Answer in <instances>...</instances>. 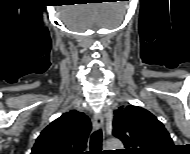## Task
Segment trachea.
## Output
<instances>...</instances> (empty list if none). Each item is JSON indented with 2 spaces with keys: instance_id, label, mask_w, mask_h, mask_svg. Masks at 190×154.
Wrapping results in <instances>:
<instances>
[{
  "instance_id": "obj_1",
  "label": "trachea",
  "mask_w": 190,
  "mask_h": 154,
  "mask_svg": "<svg viewBox=\"0 0 190 154\" xmlns=\"http://www.w3.org/2000/svg\"><path fill=\"white\" fill-rule=\"evenodd\" d=\"M90 154L102 153V131L99 129L91 135L90 138Z\"/></svg>"
}]
</instances>
